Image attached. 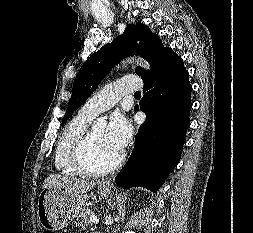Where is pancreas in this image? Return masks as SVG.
<instances>
[{"mask_svg":"<svg viewBox=\"0 0 253 233\" xmlns=\"http://www.w3.org/2000/svg\"><path fill=\"white\" fill-rule=\"evenodd\" d=\"M91 215H93V213L90 210L82 208L79 216L77 217V226L82 229H86L91 224Z\"/></svg>","mask_w":253,"mask_h":233,"instance_id":"obj_1","label":"pancreas"}]
</instances>
